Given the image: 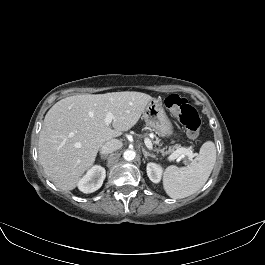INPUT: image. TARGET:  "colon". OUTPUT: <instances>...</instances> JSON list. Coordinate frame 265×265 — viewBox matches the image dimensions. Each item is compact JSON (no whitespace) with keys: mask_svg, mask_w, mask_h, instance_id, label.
<instances>
[{"mask_svg":"<svg viewBox=\"0 0 265 265\" xmlns=\"http://www.w3.org/2000/svg\"><path fill=\"white\" fill-rule=\"evenodd\" d=\"M166 107L179 119L192 140H198L201 120L196 109L187 99L172 94L165 99Z\"/></svg>","mask_w":265,"mask_h":265,"instance_id":"1","label":"colon"}]
</instances>
